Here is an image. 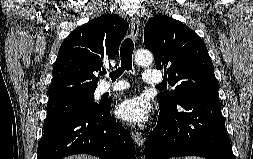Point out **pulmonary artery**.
<instances>
[{"instance_id":"1","label":"pulmonary artery","mask_w":253,"mask_h":159,"mask_svg":"<svg viewBox=\"0 0 253 159\" xmlns=\"http://www.w3.org/2000/svg\"><path fill=\"white\" fill-rule=\"evenodd\" d=\"M164 79V74L160 71H153V70H145L143 72V82L148 86H158ZM129 84L127 83H102L99 86V92L101 94L108 93V92H117L124 89H127Z\"/></svg>"}]
</instances>
